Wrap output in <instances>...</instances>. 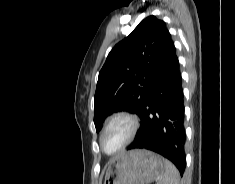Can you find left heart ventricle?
<instances>
[{"instance_id":"left-heart-ventricle-1","label":"left heart ventricle","mask_w":235,"mask_h":184,"mask_svg":"<svg viewBox=\"0 0 235 184\" xmlns=\"http://www.w3.org/2000/svg\"><path fill=\"white\" fill-rule=\"evenodd\" d=\"M129 129L127 120L121 118L115 121L103 134L102 149L108 154L117 152L126 139Z\"/></svg>"}]
</instances>
